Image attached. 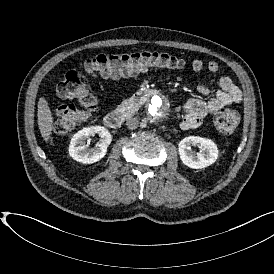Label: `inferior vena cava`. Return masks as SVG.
I'll use <instances>...</instances> for the list:
<instances>
[{"mask_svg": "<svg viewBox=\"0 0 274 274\" xmlns=\"http://www.w3.org/2000/svg\"><path fill=\"white\" fill-rule=\"evenodd\" d=\"M126 126L130 130L136 129L139 126V120H138V118H135V117L129 118L126 121Z\"/></svg>", "mask_w": 274, "mask_h": 274, "instance_id": "inferior-vena-cava-1", "label": "inferior vena cava"}]
</instances>
